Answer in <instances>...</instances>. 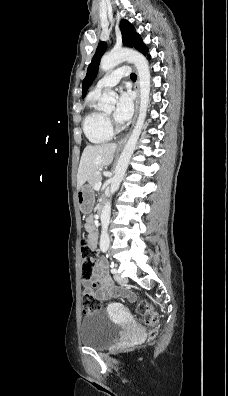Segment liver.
<instances>
[{"label": "liver", "instance_id": "liver-1", "mask_svg": "<svg viewBox=\"0 0 228 396\" xmlns=\"http://www.w3.org/2000/svg\"><path fill=\"white\" fill-rule=\"evenodd\" d=\"M116 149L115 143L87 145L84 148L77 173V190L100 168L112 163Z\"/></svg>", "mask_w": 228, "mask_h": 396}]
</instances>
